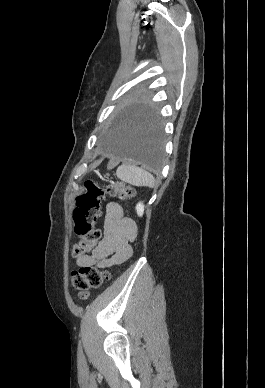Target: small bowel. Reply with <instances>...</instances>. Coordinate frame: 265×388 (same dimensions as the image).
<instances>
[{
	"instance_id": "small-bowel-1",
	"label": "small bowel",
	"mask_w": 265,
	"mask_h": 388,
	"mask_svg": "<svg viewBox=\"0 0 265 388\" xmlns=\"http://www.w3.org/2000/svg\"><path fill=\"white\" fill-rule=\"evenodd\" d=\"M137 225L131 218L123 216L117 202H109L103 223V237L90 254L77 257L78 266L107 268L121 264L132 256L131 242L137 236Z\"/></svg>"
}]
</instances>
